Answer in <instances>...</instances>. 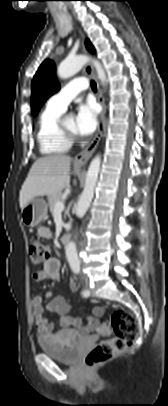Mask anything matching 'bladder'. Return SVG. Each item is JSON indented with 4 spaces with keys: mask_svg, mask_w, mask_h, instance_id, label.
<instances>
[{
    "mask_svg": "<svg viewBox=\"0 0 168 406\" xmlns=\"http://www.w3.org/2000/svg\"><path fill=\"white\" fill-rule=\"evenodd\" d=\"M39 346L46 355L64 364H73L80 357V348L78 346L57 345L43 338L39 339Z\"/></svg>",
    "mask_w": 168,
    "mask_h": 406,
    "instance_id": "1",
    "label": "bladder"
}]
</instances>
